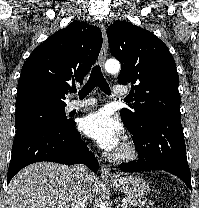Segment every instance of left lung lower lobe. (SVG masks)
Wrapping results in <instances>:
<instances>
[{
  "mask_svg": "<svg viewBox=\"0 0 199 208\" xmlns=\"http://www.w3.org/2000/svg\"><path fill=\"white\" fill-rule=\"evenodd\" d=\"M134 144L139 159L121 164V171L164 170L179 177L192 191L181 117L166 116L148 120L141 133L134 136Z\"/></svg>",
  "mask_w": 199,
  "mask_h": 208,
  "instance_id": "1",
  "label": "left lung lower lobe"
}]
</instances>
